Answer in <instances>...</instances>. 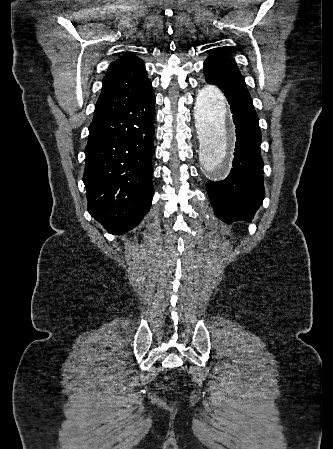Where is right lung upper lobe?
<instances>
[{
	"mask_svg": "<svg viewBox=\"0 0 333 449\" xmlns=\"http://www.w3.org/2000/svg\"><path fill=\"white\" fill-rule=\"evenodd\" d=\"M152 87L141 59L125 54L112 62L102 81V91L96 103L94 117L118 109Z\"/></svg>",
	"mask_w": 333,
	"mask_h": 449,
	"instance_id": "cb5924a9",
	"label": "right lung upper lobe"
}]
</instances>
